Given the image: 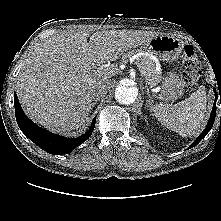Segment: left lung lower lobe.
<instances>
[{
  "instance_id": "obj_1",
  "label": "left lung lower lobe",
  "mask_w": 221,
  "mask_h": 221,
  "mask_svg": "<svg viewBox=\"0 0 221 221\" xmlns=\"http://www.w3.org/2000/svg\"><path fill=\"white\" fill-rule=\"evenodd\" d=\"M219 95H220V103H221V92L220 91H219ZM217 97H218L217 93H215V102H214V105H213L211 117L209 119V122H208L206 128L200 134V136L196 139V141L190 145L189 149L194 147V146H196L206 136V134L211 130V128H212V126L214 124V119H215V115H216V101H217Z\"/></svg>"
}]
</instances>
